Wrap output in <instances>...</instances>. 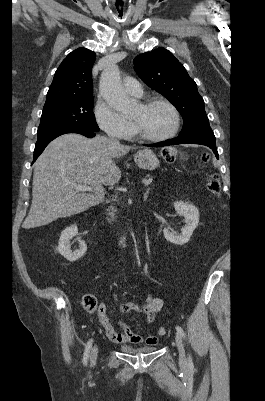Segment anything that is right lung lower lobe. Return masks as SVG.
I'll return each mask as SVG.
<instances>
[{"mask_svg": "<svg viewBox=\"0 0 265 401\" xmlns=\"http://www.w3.org/2000/svg\"><path fill=\"white\" fill-rule=\"evenodd\" d=\"M66 133H78L86 137L92 138L95 136V132L81 130V129H70V128H57L46 132L40 136H37L38 140L35 144L33 162L38 158V156L43 152L45 147L56 137L66 134Z\"/></svg>", "mask_w": 265, "mask_h": 401, "instance_id": "right-lung-lower-lobe-1", "label": "right lung lower lobe"}]
</instances>
